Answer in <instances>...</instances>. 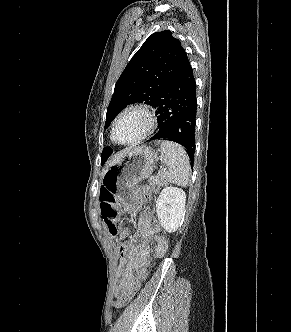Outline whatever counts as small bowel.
<instances>
[{
  "label": "small bowel",
  "mask_w": 291,
  "mask_h": 332,
  "mask_svg": "<svg viewBox=\"0 0 291 332\" xmlns=\"http://www.w3.org/2000/svg\"><path fill=\"white\" fill-rule=\"evenodd\" d=\"M125 235L127 231H125ZM158 221L149 213L140 215L138 228L131 239L120 247L121 261L119 264L121 279L117 287V295L126 291L149 265L154 252L163 256L167 251V242L160 234ZM155 247H150V241Z\"/></svg>",
  "instance_id": "small-bowel-1"
}]
</instances>
